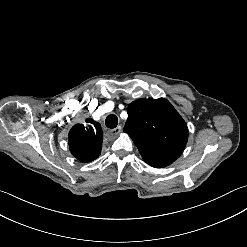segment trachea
<instances>
[{"label":"trachea","instance_id":"1","mask_svg":"<svg viewBox=\"0 0 247 247\" xmlns=\"http://www.w3.org/2000/svg\"><path fill=\"white\" fill-rule=\"evenodd\" d=\"M105 124L108 128H115L118 124V118L116 115H109L106 120Z\"/></svg>","mask_w":247,"mask_h":247}]
</instances>
